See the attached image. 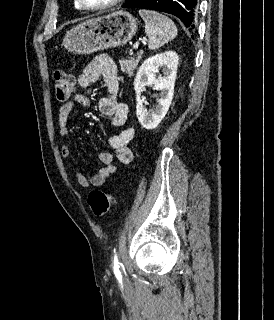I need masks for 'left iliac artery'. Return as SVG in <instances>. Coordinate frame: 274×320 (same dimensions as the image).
I'll use <instances>...</instances> for the list:
<instances>
[{"instance_id":"left-iliac-artery-1","label":"left iliac artery","mask_w":274,"mask_h":320,"mask_svg":"<svg viewBox=\"0 0 274 320\" xmlns=\"http://www.w3.org/2000/svg\"><path fill=\"white\" fill-rule=\"evenodd\" d=\"M113 270H114V274L117 277V279H121V272L119 270V261H118V256L117 254L114 255V259H113Z\"/></svg>"}]
</instances>
